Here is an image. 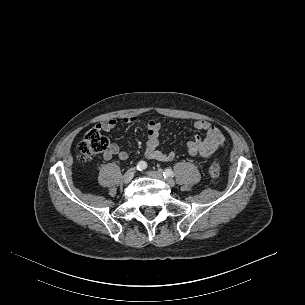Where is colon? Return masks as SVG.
<instances>
[{
	"label": "colon",
	"instance_id": "colon-1",
	"mask_svg": "<svg viewBox=\"0 0 305 305\" xmlns=\"http://www.w3.org/2000/svg\"><path fill=\"white\" fill-rule=\"evenodd\" d=\"M108 149L106 137L98 130L91 129L86 132L82 141L78 145V157L81 161H87L92 156L105 152ZM209 175L213 182L220 177V165L214 161L209 167Z\"/></svg>",
	"mask_w": 305,
	"mask_h": 305
}]
</instances>
